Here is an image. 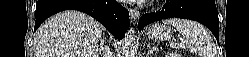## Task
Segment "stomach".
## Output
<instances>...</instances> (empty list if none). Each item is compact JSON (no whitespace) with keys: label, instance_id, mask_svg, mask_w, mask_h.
Here are the masks:
<instances>
[{"label":"stomach","instance_id":"1","mask_svg":"<svg viewBox=\"0 0 249 57\" xmlns=\"http://www.w3.org/2000/svg\"><path fill=\"white\" fill-rule=\"evenodd\" d=\"M174 33L173 28L166 25H161L159 23L149 26L147 29V36L153 40H169L172 38Z\"/></svg>","mask_w":249,"mask_h":57}]
</instances>
